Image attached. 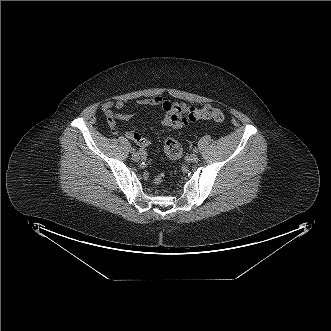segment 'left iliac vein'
I'll return each instance as SVG.
<instances>
[{
	"label": "left iliac vein",
	"mask_w": 331,
	"mask_h": 331,
	"mask_svg": "<svg viewBox=\"0 0 331 331\" xmlns=\"http://www.w3.org/2000/svg\"><path fill=\"white\" fill-rule=\"evenodd\" d=\"M189 158H190V161L193 163H195L199 160L198 155L195 153L191 154Z\"/></svg>",
	"instance_id": "obj_1"
}]
</instances>
